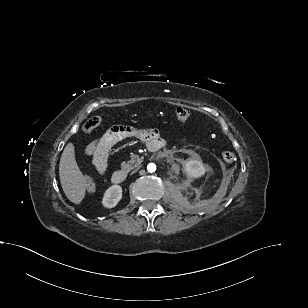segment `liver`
Returning a JSON list of instances; mask_svg holds the SVG:
<instances>
[{
  "mask_svg": "<svg viewBox=\"0 0 308 308\" xmlns=\"http://www.w3.org/2000/svg\"><path fill=\"white\" fill-rule=\"evenodd\" d=\"M59 176L67 198L79 204L85 196L88 182L77 165L73 143H68L63 150L59 163Z\"/></svg>",
  "mask_w": 308,
  "mask_h": 308,
  "instance_id": "obj_1",
  "label": "liver"
}]
</instances>
